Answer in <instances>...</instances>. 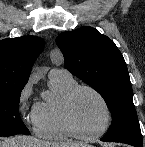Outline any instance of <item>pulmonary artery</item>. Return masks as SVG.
I'll list each match as a JSON object with an SVG mask.
<instances>
[{"mask_svg": "<svg viewBox=\"0 0 145 147\" xmlns=\"http://www.w3.org/2000/svg\"><path fill=\"white\" fill-rule=\"evenodd\" d=\"M54 76H66L70 77L72 76L71 73L66 70V69H61V68H52L49 72V77H54Z\"/></svg>", "mask_w": 145, "mask_h": 147, "instance_id": "pulmonary-artery-1", "label": "pulmonary artery"}]
</instances>
